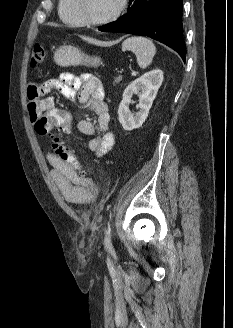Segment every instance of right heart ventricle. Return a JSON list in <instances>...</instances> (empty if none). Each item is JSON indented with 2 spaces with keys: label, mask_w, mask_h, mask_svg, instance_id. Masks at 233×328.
Masks as SVG:
<instances>
[{
  "label": "right heart ventricle",
  "mask_w": 233,
  "mask_h": 328,
  "mask_svg": "<svg viewBox=\"0 0 233 328\" xmlns=\"http://www.w3.org/2000/svg\"><path fill=\"white\" fill-rule=\"evenodd\" d=\"M76 0H59L58 13L61 21L70 27H82L84 24L75 9Z\"/></svg>",
  "instance_id": "1"
}]
</instances>
